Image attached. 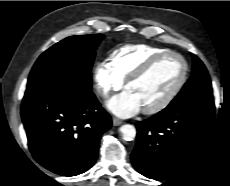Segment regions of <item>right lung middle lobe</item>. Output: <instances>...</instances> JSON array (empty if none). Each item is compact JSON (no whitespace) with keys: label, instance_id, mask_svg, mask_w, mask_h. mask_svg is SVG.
Wrapping results in <instances>:
<instances>
[{"label":"right lung middle lobe","instance_id":"obj_1","mask_svg":"<svg viewBox=\"0 0 230 186\" xmlns=\"http://www.w3.org/2000/svg\"><path fill=\"white\" fill-rule=\"evenodd\" d=\"M103 34L71 36L46 50L34 64L27 89L64 81L79 89L91 90V67Z\"/></svg>","mask_w":230,"mask_h":186}]
</instances>
